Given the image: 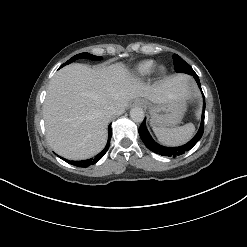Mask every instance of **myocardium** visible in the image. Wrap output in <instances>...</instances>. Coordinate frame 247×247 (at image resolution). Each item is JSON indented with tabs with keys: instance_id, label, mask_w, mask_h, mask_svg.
Returning <instances> with one entry per match:
<instances>
[{
	"instance_id": "f54148a6",
	"label": "myocardium",
	"mask_w": 247,
	"mask_h": 247,
	"mask_svg": "<svg viewBox=\"0 0 247 247\" xmlns=\"http://www.w3.org/2000/svg\"><path fill=\"white\" fill-rule=\"evenodd\" d=\"M158 73L159 74H164L165 73V68L164 67H160L159 69H158Z\"/></svg>"
}]
</instances>
